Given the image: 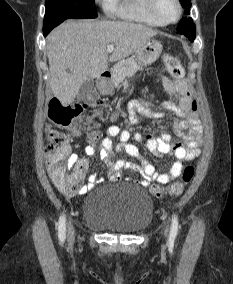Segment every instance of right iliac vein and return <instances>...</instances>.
Returning <instances> with one entry per match:
<instances>
[{
    "label": "right iliac vein",
    "mask_w": 233,
    "mask_h": 284,
    "mask_svg": "<svg viewBox=\"0 0 233 284\" xmlns=\"http://www.w3.org/2000/svg\"><path fill=\"white\" fill-rule=\"evenodd\" d=\"M68 240L70 243L74 241V227L71 222L68 223Z\"/></svg>",
    "instance_id": "obj_1"
}]
</instances>
